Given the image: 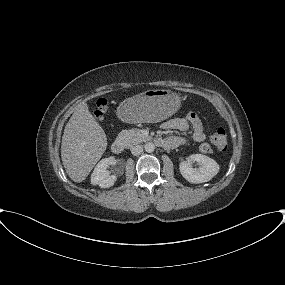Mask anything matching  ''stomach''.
Wrapping results in <instances>:
<instances>
[{
    "instance_id": "stomach-1",
    "label": "stomach",
    "mask_w": 285,
    "mask_h": 285,
    "mask_svg": "<svg viewBox=\"0 0 285 285\" xmlns=\"http://www.w3.org/2000/svg\"><path fill=\"white\" fill-rule=\"evenodd\" d=\"M181 106L180 96L171 90H147L120 103L117 114L129 123H156L167 119Z\"/></svg>"
}]
</instances>
